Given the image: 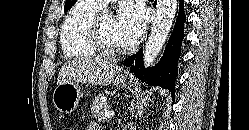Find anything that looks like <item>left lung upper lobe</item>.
<instances>
[{
  "mask_svg": "<svg viewBox=\"0 0 249 130\" xmlns=\"http://www.w3.org/2000/svg\"><path fill=\"white\" fill-rule=\"evenodd\" d=\"M76 3V0H66L64 10L68 11Z\"/></svg>",
  "mask_w": 249,
  "mask_h": 130,
  "instance_id": "5c2ea615",
  "label": "left lung upper lobe"
}]
</instances>
